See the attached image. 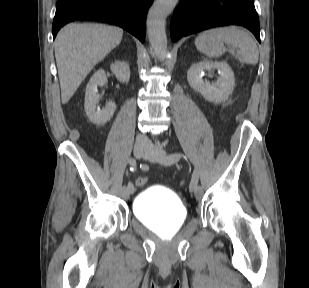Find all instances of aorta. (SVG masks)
Returning <instances> with one entry per match:
<instances>
[{
    "label": "aorta",
    "mask_w": 309,
    "mask_h": 288,
    "mask_svg": "<svg viewBox=\"0 0 309 288\" xmlns=\"http://www.w3.org/2000/svg\"><path fill=\"white\" fill-rule=\"evenodd\" d=\"M178 0H156L147 16L148 39L161 59L167 49L166 18L174 10Z\"/></svg>",
    "instance_id": "762f6f07"
}]
</instances>
